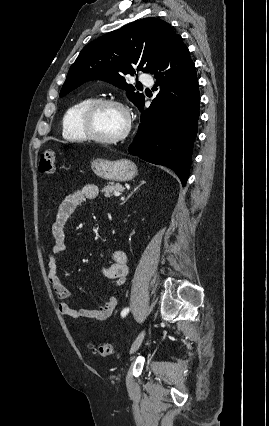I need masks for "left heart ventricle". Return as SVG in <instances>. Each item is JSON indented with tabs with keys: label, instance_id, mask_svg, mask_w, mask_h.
<instances>
[{
	"label": "left heart ventricle",
	"instance_id": "b2bd125f",
	"mask_svg": "<svg viewBox=\"0 0 269 426\" xmlns=\"http://www.w3.org/2000/svg\"><path fill=\"white\" fill-rule=\"evenodd\" d=\"M126 119L124 113L114 106H102L94 114L92 126L95 133L104 138H112L122 132Z\"/></svg>",
	"mask_w": 269,
	"mask_h": 426
}]
</instances>
